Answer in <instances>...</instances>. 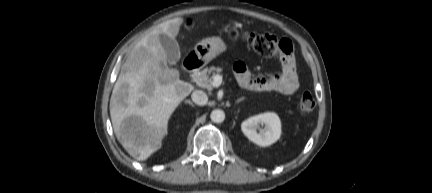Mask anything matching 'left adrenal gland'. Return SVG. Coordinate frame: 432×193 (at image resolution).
<instances>
[{
    "mask_svg": "<svg viewBox=\"0 0 432 193\" xmlns=\"http://www.w3.org/2000/svg\"><path fill=\"white\" fill-rule=\"evenodd\" d=\"M243 100H244V97L238 99V100L236 101V103H239V102H241V101H243Z\"/></svg>",
    "mask_w": 432,
    "mask_h": 193,
    "instance_id": "left-adrenal-gland-1",
    "label": "left adrenal gland"
}]
</instances>
